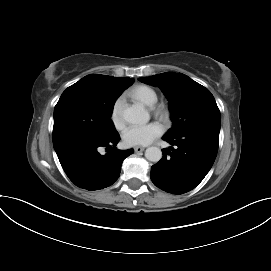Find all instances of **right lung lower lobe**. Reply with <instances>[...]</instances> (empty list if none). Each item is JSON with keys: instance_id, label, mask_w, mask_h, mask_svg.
<instances>
[{"instance_id": "1", "label": "right lung lower lobe", "mask_w": 271, "mask_h": 271, "mask_svg": "<svg viewBox=\"0 0 271 271\" xmlns=\"http://www.w3.org/2000/svg\"><path fill=\"white\" fill-rule=\"evenodd\" d=\"M119 134L79 138L55 149L63 170L78 187L99 190L111 186L119 177L122 161L134 151L117 150ZM105 147L108 154L99 151Z\"/></svg>"}]
</instances>
